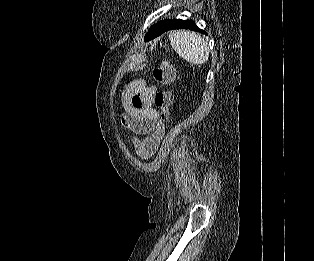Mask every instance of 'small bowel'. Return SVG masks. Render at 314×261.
<instances>
[{"instance_id": "obj_1", "label": "small bowel", "mask_w": 314, "mask_h": 261, "mask_svg": "<svg viewBox=\"0 0 314 261\" xmlns=\"http://www.w3.org/2000/svg\"><path fill=\"white\" fill-rule=\"evenodd\" d=\"M157 87L143 78L133 81L122 93L125 113L122 124L134 135L133 144L141 158L148 159L156 151L165 132L154 107ZM138 136H144L143 139Z\"/></svg>"}]
</instances>
